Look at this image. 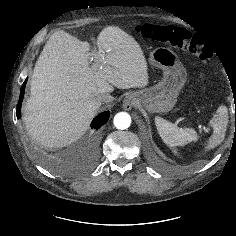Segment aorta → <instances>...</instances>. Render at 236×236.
<instances>
[{"label":"aorta","instance_id":"obj_1","mask_svg":"<svg viewBox=\"0 0 236 236\" xmlns=\"http://www.w3.org/2000/svg\"><path fill=\"white\" fill-rule=\"evenodd\" d=\"M113 123L117 129L124 130L129 128L131 117L126 112H119L114 116Z\"/></svg>","mask_w":236,"mask_h":236}]
</instances>
